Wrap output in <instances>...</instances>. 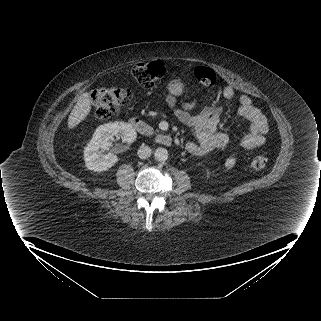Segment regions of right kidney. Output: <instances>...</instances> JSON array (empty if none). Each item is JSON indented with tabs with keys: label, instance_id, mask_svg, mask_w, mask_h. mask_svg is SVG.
<instances>
[{
	"label": "right kidney",
	"instance_id": "ca27d5eb",
	"mask_svg": "<svg viewBox=\"0 0 321 321\" xmlns=\"http://www.w3.org/2000/svg\"><path fill=\"white\" fill-rule=\"evenodd\" d=\"M114 136H119L124 142L131 143L136 139V132L124 122L100 125L84 149L85 165L89 170L106 171L118 162V157L115 154H102V150H108L111 147L110 141Z\"/></svg>",
	"mask_w": 321,
	"mask_h": 321
}]
</instances>
